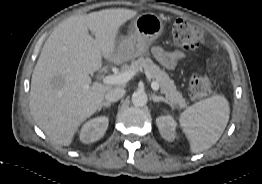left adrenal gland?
Wrapping results in <instances>:
<instances>
[{"label":"left adrenal gland","mask_w":262,"mask_h":184,"mask_svg":"<svg viewBox=\"0 0 262 184\" xmlns=\"http://www.w3.org/2000/svg\"><path fill=\"white\" fill-rule=\"evenodd\" d=\"M151 98H152L154 103H156V102H165L166 104H169L170 106H172V104L168 100H166L164 97H162V96H156L155 94H152Z\"/></svg>","instance_id":"a2214340"}]
</instances>
